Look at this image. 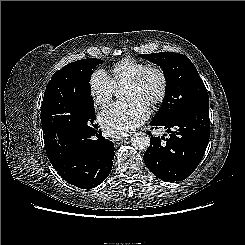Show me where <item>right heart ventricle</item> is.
I'll return each mask as SVG.
<instances>
[{"mask_svg":"<svg viewBox=\"0 0 245 245\" xmlns=\"http://www.w3.org/2000/svg\"><path fill=\"white\" fill-rule=\"evenodd\" d=\"M149 65L146 62L127 58L114 64L108 71V77L114 87L126 85L131 79L138 75Z\"/></svg>","mask_w":245,"mask_h":245,"instance_id":"e07e8e85","label":"right heart ventricle"}]
</instances>
